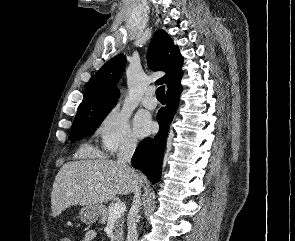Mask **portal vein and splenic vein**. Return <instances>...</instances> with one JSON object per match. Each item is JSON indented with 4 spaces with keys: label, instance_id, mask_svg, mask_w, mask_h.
Returning a JSON list of instances; mask_svg holds the SVG:
<instances>
[{
    "label": "portal vein and splenic vein",
    "instance_id": "obj_1",
    "mask_svg": "<svg viewBox=\"0 0 295 241\" xmlns=\"http://www.w3.org/2000/svg\"><path fill=\"white\" fill-rule=\"evenodd\" d=\"M126 210V205L124 202H118L113 207L110 208L109 221H113L119 218Z\"/></svg>",
    "mask_w": 295,
    "mask_h": 241
}]
</instances>
